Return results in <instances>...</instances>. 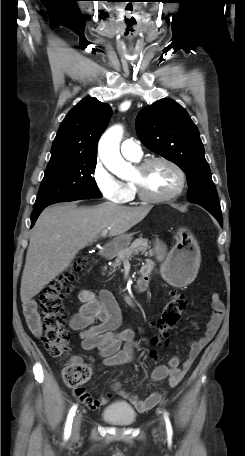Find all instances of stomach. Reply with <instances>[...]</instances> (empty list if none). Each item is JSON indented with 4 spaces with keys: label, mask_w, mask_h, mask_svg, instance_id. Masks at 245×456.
I'll list each match as a JSON object with an SVG mask.
<instances>
[{
    "label": "stomach",
    "mask_w": 245,
    "mask_h": 456,
    "mask_svg": "<svg viewBox=\"0 0 245 456\" xmlns=\"http://www.w3.org/2000/svg\"><path fill=\"white\" fill-rule=\"evenodd\" d=\"M132 234H123L115 240L117 249L125 248ZM156 258L161 264L163 277L174 286L188 284L195 277L200 264V248L190 230L180 227L176 232V244L168 252L158 239L154 243Z\"/></svg>",
    "instance_id": "stomach-1"
}]
</instances>
